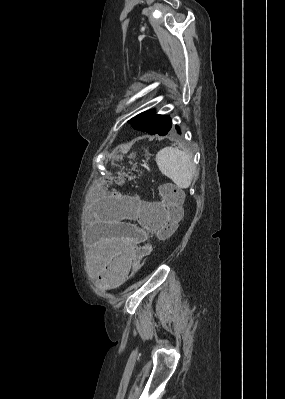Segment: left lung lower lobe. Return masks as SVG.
Here are the masks:
<instances>
[{
	"mask_svg": "<svg viewBox=\"0 0 285 399\" xmlns=\"http://www.w3.org/2000/svg\"><path fill=\"white\" fill-rule=\"evenodd\" d=\"M173 130H174V128L171 127L170 131H173ZM176 130L179 131V127L178 126H176Z\"/></svg>",
	"mask_w": 285,
	"mask_h": 399,
	"instance_id": "0a47b994",
	"label": "left lung lower lobe"
}]
</instances>
